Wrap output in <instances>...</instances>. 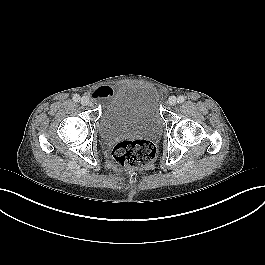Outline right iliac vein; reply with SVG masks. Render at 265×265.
Instances as JSON below:
<instances>
[{
  "instance_id": "63e3f726",
  "label": "right iliac vein",
  "mask_w": 265,
  "mask_h": 265,
  "mask_svg": "<svg viewBox=\"0 0 265 265\" xmlns=\"http://www.w3.org/2000/svg\"><path fill=\"white\" fill-rule=\"evenodd\" d=\"M81 104L84 105V106H87L90 104V101H89V98L84 96L81 98Z\"/></svg>"
}]
</instances>
